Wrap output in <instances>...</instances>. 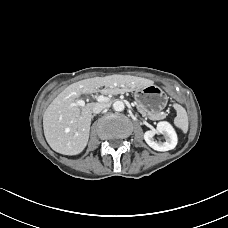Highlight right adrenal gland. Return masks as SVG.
Segmentation results:
<instances>
[{
  "label": "right adrenal gland",
  "mask_w": 228,
  "mask_h": 228,
  "mask_svg": "<svg viewBox=\"0 0 228 228\" xmlns=\"http://www.w3.org/2000/svg\"><path fill=\"white\" fill-rule=\"evenodd\" d=\"M95 116H96V114H93L92 117H91V119H93Z\"/></svg>",
  "instance_id": "1"
}]
</instances>
